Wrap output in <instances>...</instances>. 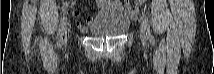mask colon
Here are the masks:
<instances>
[{"label": "colon", "instance_id": "1", "mask_svg": "<svg viewBox=\"0 0 214 74\" xmlns=\"http://www.w3.org/2000/svg\"><path fill=\"white\" fill-rule=\"evenodd\" d=\"M146 0H137L136 3L143 4Z\"/></svg>", "mask_w": 214, "mask_h": 74}]
</instances>
